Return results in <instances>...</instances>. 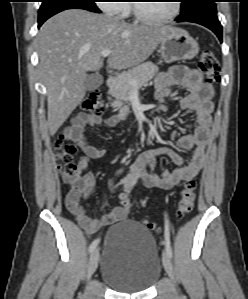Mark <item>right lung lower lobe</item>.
<instances>
[{
  "label": "right lung lower lobe",
  "mask_w": 248,
  "mask_h": 299,
  "mask_svg": "<svg viewBox=\"0 0 248 299\" xmlns=\"http://www.w3.org/2000/svg\"><path fill=\"white\" fill-rule=\"evenodd\" d=\"M53 15H49V16L45 17L44 19L38 20V23H39L38 27H40L48 18H50Z\"/></svg>",
  "instance_id": "1"
}]
</instances>
